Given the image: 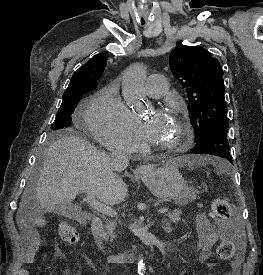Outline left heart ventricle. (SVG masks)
Wrapping results in <instances>:
<instances>
[{"label":"left heart ventricle","mask_w":263,"mask_h":275,"mask_svg":"<svg viewBox=\"0 0 263 275\" xmlns=\"http://www.w3.org/2000/svg\"><path fill=\"white\" fill-rule=\"evenodd\" d=\"M178 137V128L173 118H166L160 131L152 141L157 146L170 145Z\"/></svg>","instance_id":"1"}]
</instances>
